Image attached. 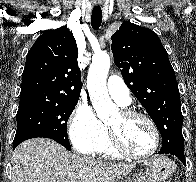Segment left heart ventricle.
I'll return each instance as SVG.
<instances>
[{
  "mask_svg": "<svg viewBox=\"0 0 196 182\" xmlns=\"http://www.w3.org/2000/svg\"><path fill=\"white\" fill-rule=\"evenodd\" d=\"M118 133L123 145L131 152L145 154L154 145V133L147 121L142 118H124L118 112L108 123Z\"/></svg>",
  "mask_w": 196,
  "mask_h": 182,
  "instance_id": "left-heart-ventricle-1",
  "label": "left heart ventricle"
}]
</instances>
